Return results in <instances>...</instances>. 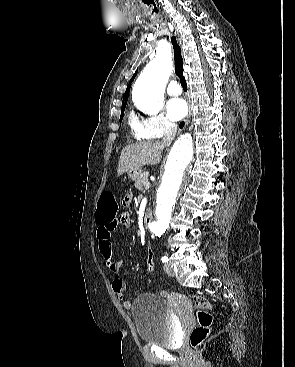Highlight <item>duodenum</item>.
Returning a JSON list of instances; mask_svg holds the SVG:
<instances>
[{
  "label": "duodenum",
  "mask_w": 295,
  "mask_h": 367,
  "mask_svg": "<svg viewBox=\"0 0 295 367\" xmlns=\"http://www.w3.org/2000/svg\"><path fill=\"white\" fill-rule=\"evenodd\" d=\"M153 219V214L150 211H147L144 215L143 218V225L145 228H148V226L150 225V223L152 222Z\"/></svg>",
  "instance_id": "1"
}]
</instances>
